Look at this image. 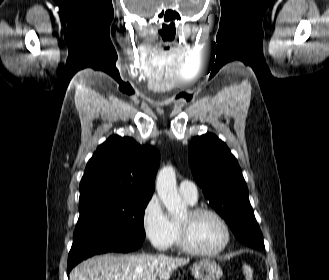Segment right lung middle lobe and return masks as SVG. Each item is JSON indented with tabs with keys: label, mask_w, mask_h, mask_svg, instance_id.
<instances>
[{
	"label": "right lung middle lobe",
	"mask_w": 329,
	"mask_h": 280,
	"mask_svg": "<svg viewBox=\"0 0 329 280\" xmlns=\"http://www.w3.org/2000/svg\"><path fill=\"white\" fill-rule=\"evenodd\" d=\"M150 199V196H119L80 202L68 264L82 252L101 244L133 250L141 247L145 238L144 209Z\"/></svg>",
	"instance_id": "obj_1"
}]
</instances>
